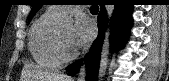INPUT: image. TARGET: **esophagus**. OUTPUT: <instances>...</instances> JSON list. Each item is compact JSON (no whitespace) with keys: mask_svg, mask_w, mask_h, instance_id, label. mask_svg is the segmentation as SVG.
<instances>
[{"mask_svg":"<svg viewBox=\"0 0 169 81\" xmlns=\"http://www.w3.org/2000/svg\"><path fill=\"white\" fill-rule=\"evenodd\" d=\"M85 80V65L83 64L81 66V69L79 71L77 81H84Z\"/></svg>","mask_w":169,"mask_h":81,"instance_id":"esophagus-1","label":"esophagus"}]
</instances>
